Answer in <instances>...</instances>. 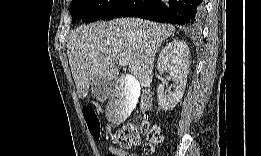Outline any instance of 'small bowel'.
Masks as SVG:
<instances>
[{
	"label": "small bowel",
	"instance_id": "c3829d8e",
	"mask_svg": "<svg viewBox=\"0 0 261 156\" xmlns=\"http://www.w3.org/2000/svg\"><path fill=\"white\" fill-rule=\"evenodd\" d=\"M107 150V156H127L129 154L128 150L117 145H108Z\"/></svg>",
	"mask_w": 261,
	"mask_h": 156
}]
</instances>
